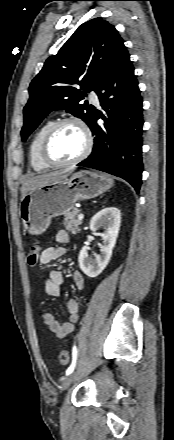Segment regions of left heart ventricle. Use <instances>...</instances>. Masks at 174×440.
Instances as JSON below:
<instances>
[{"instance_id": "obj_1", "label": "left heart ventricle", "mask_w": 174, "mask_h": 440, "mask_svg": "<svg viewBox=\"0 0 174 440\" xmlns=\"http://www.w3.org/2000/svg\"><path fill=\"white\" fill-rule=\"evenodd\" d=\"M85 145L81 128L73 123L62 125L53 135L49 145V155L56 162H66L76 158Z\"/></svg>"}]
</instances>
